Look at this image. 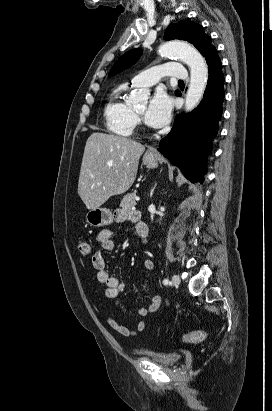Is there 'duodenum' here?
I'll list each match as a JSON object with an SVG mask.
<instances>
[{
	"label": "duodenum",
	"instance_id": "1",
	"mask_svg": "<svg viewBox=\"0 0 272 411\" xmlns=\"http://www.w3.org/2000/svg\"><path fill=\"white\" fill-rule=\"evenodd\" d=\"M136 232L141 239V243L143 246H147L148 244V236H149V229L146 223L137 219L135 221Z\"/></svg>",
	"mask_w": 272,
	"mask_h": 411
}]
</instances>
